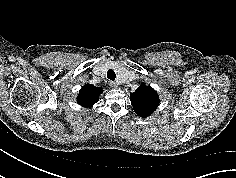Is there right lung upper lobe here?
<instances>
[{
    "mask_svg": "<svg viewBox=\"0 0 236 178\" xmlns=\"http://www.w3.org/2000/svg\"><path fill=\"white\" fill-rule=\"evenodd\" d=\"M103 92L101 87H95L91 84L82 86L77 102L83 107H92L96 102L99 101V94Z\"/></svg>",
    "mask_w": 236,
    "mask_h": 178,
    "instance_id": "cb5924a9",
    "label": "right lung upper lobe"
}]
</instances>
